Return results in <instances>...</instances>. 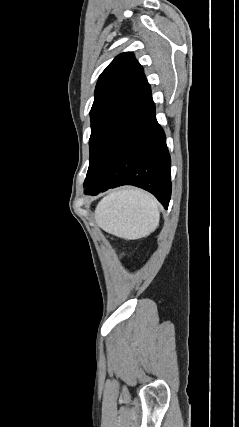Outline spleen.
I'll use <instances>...</instances> for the list:
<instances>
[{"instance_id": "1", "label": "spleen", "mask_w": 239, "mask_h": 427, "mask_svg": "<svg viewBox=\"0 0 239 427\" xmlns=\"http://www.w3.org/2000/svg\"><path fill=\"white\" fill-rule=\"evenodd\" d=\"M94 215L100 228L127 240L147 236L157 228L160 220L157 200L137 188L111 192L98 203Z\"/></svg>"}]
</instances>
